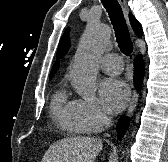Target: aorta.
Returning a JSON list of instances; mask_svg holds the SVG:
<instances>
[{
  "label": "aorta",
  "instance_id": "obj_1",
  "mask_svg": "<svg viewBox=\"0 0 168 162\" xmlns=\"http://www.w3.org/2000/svg\"><path fill=\"white\" fill-rule=\"evenodd\" d=\"M111 30L99 22H88L81 37L70 77L77 94L92 98L97 91L98 60L109 43Z\"/></svg>",
  "mask_w": 168,
  "mask_h": 162
}]
</instances>
